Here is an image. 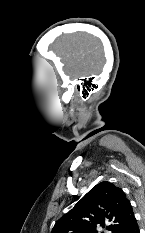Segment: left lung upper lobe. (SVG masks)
Instances as JSON below:
<instances>
[{
	"mask_svg": "<svg viewBox=\"0 0 145 233\" xmlns=\"http://www.w3.org/2000/svg\"><path fill=\"white\" fill-rule=\"evenodd\" d=\"M135 221L130 201L122 189L104 181L63 215L51 233H98L97 225L112 233H127Z\"/></svg>",
	"mask_w": 145,
	"mask_h": 233,
	"instance_id": "1",
	"label": "left lung upper lobe"
}]
</instances>
